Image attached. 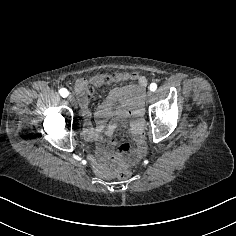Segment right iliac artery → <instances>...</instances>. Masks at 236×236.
<instances>
[{"instance_id": "1", "label": "right iliac artery", "mask_w": 236, "mask_h": 236, "mask_svg": "<svg viewBox=\"0 0 236 236\" xmlns=\"http://www.w3.org/2000/svg\"><path fill=\"white\" fill-rule=\"evenodd\" d=\"M59 93H60V95H61L63 98H66V97L69 95V92H68L67 89H65V88H61V89L59 90Z\"/></svg>"}]
</instances>
